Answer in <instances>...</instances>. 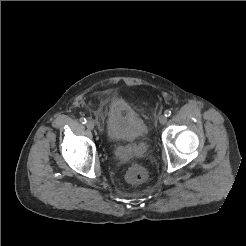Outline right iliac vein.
Segmentation results:
<instances>
[{"mask_svg": "<svg viewBox=\"0 0 246 246\" xmlns=\"http://www.w3.org/2000/svg\"><path fill=\"white\" fill-rule=\"evenodd\" d=\"M86 126H87L88 129L93 130L94 127H95V123L90 120V121L87 122Z\"/></svg>", "mask_w": 246, "mask_h": 246, "instance_id": "63e3f726", "label": "right iliac vein"}]
</instances>
